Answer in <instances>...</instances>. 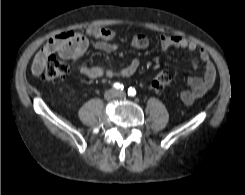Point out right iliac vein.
<instances>
[{
	"label": "right iliac vein",
	"mask_w": 245,
	"mask_h": 195,
	"mask_svg": "<svg viewBox=\"0 0 245 195\" xmlns=\"http://www.w3.org/2000/svg\"><path fill=\"white\" fill-rule=\"evenodd\" d=\"M117 96V91L114 90V89H110V90H107L105 93H104V98L106 100H111L113 99L114 97Z\"/></svg>",
	"instance_id": "right-iliac-vein-1"
}]
</instances>
